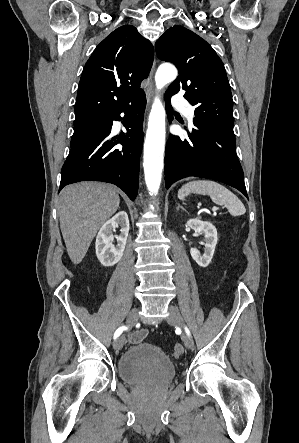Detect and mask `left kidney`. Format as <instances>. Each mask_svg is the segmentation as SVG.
Wrapping results in <instances>:
<instances>
[{
  "label": "left kidney",
  "mask_w": 299,
  "mask_h": 443,
  "mask_svg": "<svg viewBox=\"0 0 299 443\" xmlns=\"http://www.w3.org/2000/svg\"><path fill=\"white\" fill-rule=\"evenodd\" d=\"M186 227H190L196 233L204 235V254L201 255L196 248H191L190 253L199 266L207 267L211 262L218 240L215 226L200 219H191L187 222Z\"/></svg>",
  "instance_id": "obj_1"
}]
</instances>
